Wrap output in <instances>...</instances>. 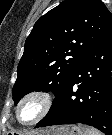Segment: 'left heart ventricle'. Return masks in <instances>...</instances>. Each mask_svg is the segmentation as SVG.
Returning <instances> with one entry per match:
<instances>
[{
	"label": "left heart ventricle",
	"instance_id": "obj_1",
	"mask_svg": "<svg viewBox=\"0 0 112 135\" xmlns=\"http://www.w3.org/2000/svg\"><path fill=\"white\" fill-rule=\"evenodd\" d=\"M39 109L40 105L37 100H29L21 106L19 110V119L22 122H28L37 116Z\"/></svg>",
	"mask_w": 112,
	"mask_h": 135
}]
</instances>
